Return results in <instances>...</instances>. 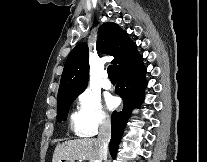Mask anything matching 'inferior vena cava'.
Returning <instances> with one entry per match:
<instances>
[{"label": "inferior vena cava", "instance_id": "obj_1", "mask_svg": "<svg viewBox=\"0 0 207 162\" xmlns=\"http://www.w3.org/2000/svg\"><path fill=\"white\" fill-rule=\"evenodd\" d=\"M111 139V123L109 119L103 118L100 122L98 143H99V160L96 162H102L107 159L108 144Z\"/></svg>", "mask_w": 207, "mask_h": 162}]
</instances>
